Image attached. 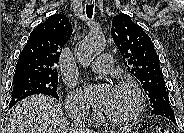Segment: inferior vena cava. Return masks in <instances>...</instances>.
I'll return each mask as SVG.
<instances>
[{"instance_id": "1", "label": "inferior vena cava", "mask_w": 184, "mask_h": 133, "mask_svg": "<svg viewBox=\"0 0 184 133\" xmlns=\"http://www.w3.org/2000/svg\"><path fill=\"white\" fill-rule=\"evenodd\" d=\"M86 114L87 110L83 106H78L69 112V117L72 121L71 128L73 133L89 132L85 122Z\"/></svg>"}]
</instances>
